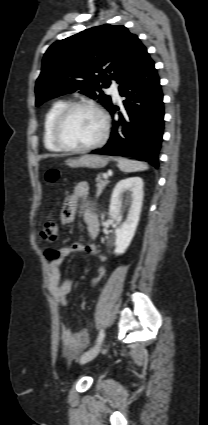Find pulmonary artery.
I'll use <instances>...</instances> for the list:
<instances>
[{
    "instance_id": "pulmonary-artery-1",
    "label": "pulmonary artery",
    "mask_w": 208,
    "mask_h": 425,
    "mask_svg": "<svg viewBox=\"0 0 208 425\" xmlns=\"http://www.w3.org/2000/svg\"><path fill=\"white\" fill-rule=\"evenodd\" d=\"M109 92L112 94V96L114 97V99L119 100L120 95H119V91H118V89H117L116 86H111L109 88Z\"/></svg>"
}]
</instances>
